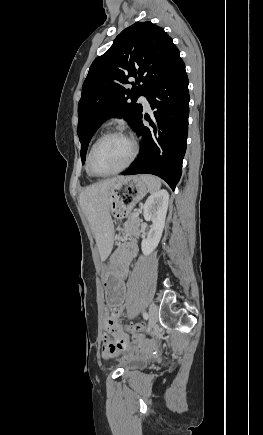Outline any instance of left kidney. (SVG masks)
Wrapping results in <instances>:
<instances>
[{
	"label": "left kidney",
	"mask_w": 263,
	"mask_h": 435,
	"mask_svg": "<svg viewBox=\"0 0 263 435\" xmlns=\"http://www.w3.org/2000/svg\"><path fill=\"white\" fill-rule=\"evenodd\" d=\"M168 204L169 193L165 189L152 193L144 204L143 216L146 221L153 223L147 237L141 243L144 255L151 254L160 242L165 226Z\"/></svg>",
	"instance_id": "1"
}]
</instances>
